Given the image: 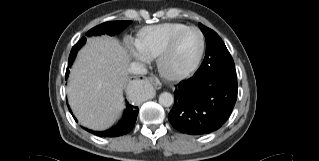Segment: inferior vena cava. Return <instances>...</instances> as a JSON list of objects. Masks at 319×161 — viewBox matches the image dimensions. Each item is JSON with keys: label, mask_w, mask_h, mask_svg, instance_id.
I'll return each mask as SVG.
<instances>
[{"label": "inferior vena cava", "mask_w": 319, "mask_h": 161, "mask_svg": "<svg viewBox=\"0 0 319 161\" xmlns=\"http://www.w3.org/2000/svg\"><path fill=\"white\" fill-rule=\"evenodd\" d=\"M128 72L131 74H146L147 70L143 66V64L138 63V62H133L129 65L128 67Z\"/></svg>", "instance_id": "602c4592"}]
</instances>
